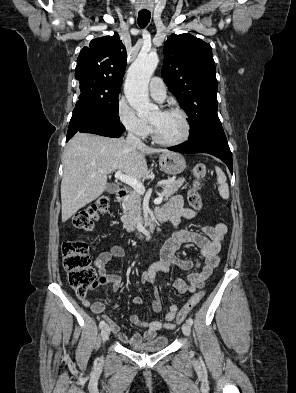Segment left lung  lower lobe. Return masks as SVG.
<instances>
[{
  "instance_id": "1",
  "label": "left lung lower lobe",
  "mask_w": 296,
  "mask_h": 393,
  "mask_svg": "<svg viewBox=\"0 0 296 393\" xmlns=\"http://www.w3.org/2000/svg\"><path fill=\"white\" fill-rule=\"evenodd\" d=\"M180 153H208L221 159L233 172L232 154L222 127L212 128L196 138L168 148Z\"/></svg>"
}]
</instances>
